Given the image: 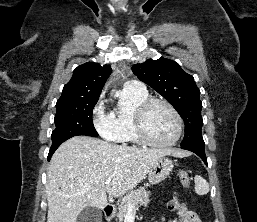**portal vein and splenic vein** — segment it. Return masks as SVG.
<instances>
[{
	"mask_svg": "<svg viewBox=\"0 0 257 222\" xmlns=\"http://www.w3.org/2000/svg\"><path fill=\"white\" fill-rule=\"evenodd\" d=\"M111 180H112L111 178H107V179L105 180V183H106V184H109V183L111 182ZM134 207H135V206H133V205H131V204L128 205V208H129V209H132V208H134Z\"/></svg>",
	"mask_w": 257,
	"mask_h": 222,
	"instance_id": "portal-vein-and-splenic-vein-1",
	"label": "portal vein and splenic vein"
}]
</instances>
